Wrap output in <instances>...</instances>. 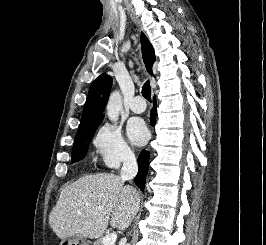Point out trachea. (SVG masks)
I'll use <instances>...</instances> for the list:
<instances>
[{
    "label": "trachea",
    "instance_id": "1",
    "mask_svg": "<svg viewBox=\"0 0 266 245\" xmlns=\"http://www.w3.org/2000/svg\"><path fill=\"white\" fill-rule=\"evenodd\" d=\"M142 95L144 98H146V100H148L149 102H151V87H150V82L147 81L142 89Z\"/></svg>",
    "mask_w": 266,
    "mask_h": 245
}]
</instances>
